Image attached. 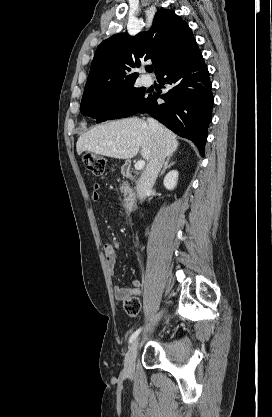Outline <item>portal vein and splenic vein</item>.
Returning <instances> with one entry per match:
<instances>
[{"label":"portal vein and splenic vein","mask_w":272,"mask_h":417,"mask_svg":"<svg viewBox=\"0 0 272 417\" xmlns=\"http://www.w3.org/2000/svg\"><path fill=\"white\" fill-rule=\"evenodd\" d=\"M144 166H145V161L144 160H139V161L136 162L134 167H135L136 170H142L144 168Z\"/></svg>","instance_id":"18ae733b"}]
</instances>
